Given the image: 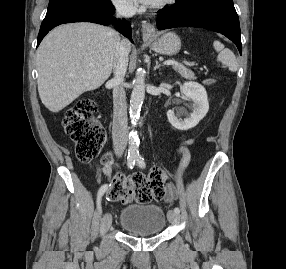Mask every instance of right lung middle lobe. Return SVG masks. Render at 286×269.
Instances as JSON below:
<instances>
[{"instance_id": "dd1d6c3e", "label": "right lung middle lobe", "mask_w": 286, "mask_h": 269, "mask_svg": "<svg viewBox=\"0 0 286 269\" xmlns=\"http://www.w3.org/2000/svg\"><path fill=\"white\" fill-rule=\"evenodd\" d=\"M73 5H90L101 10H110V0H50L47 13L63 9Z\"/></svg>"}]
</instances>
